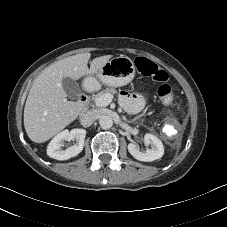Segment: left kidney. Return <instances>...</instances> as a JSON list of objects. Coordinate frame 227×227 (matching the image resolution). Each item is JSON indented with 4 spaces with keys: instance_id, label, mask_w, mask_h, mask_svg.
I'll return each instance as SVG.
<instances>
[{
    "instance_id": "obj_1",
    "label": "left kidney",
    "mask_w": 227,
    "mask_h": 227,
    "mask_svg": "<svg viewBox=\"0 0 227 227\" xmlns=\"http://www.w3.org/2000/svg\"><path fill=\"white\" fill-rule=\"evenodd\" d=\"M144 143L146 146L151 145V148H146L145 151H140L137 144H128V151L135 159L144 162H151L163 156L164 146L158 137L147 133L144 135Z\"/></svg>"
}]
</instances>
